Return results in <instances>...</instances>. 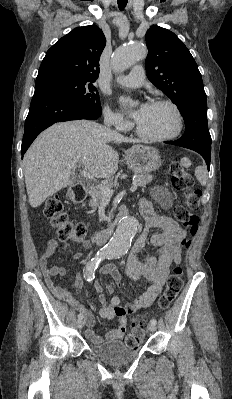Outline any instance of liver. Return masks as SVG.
<instances>
[{
    "instance_id": "1",
    "label": "liver",
    "mask_w": 232,
    "mask_h": 399,
    "mask_svg": "<svg viewBox=\"0 0 232 399\" xmlns=\"http://www.w3.org/2000/svg\"><path fill=\"white\" fill-rule=\"evenodd\" d=\"M109 142H135L106 126L76 120L60 122L42 132L23 160L25 184L32 207L73 184L69 162H77L95 178H111L118 170L119 154Z\"/></svg>"
}]
</instances>
